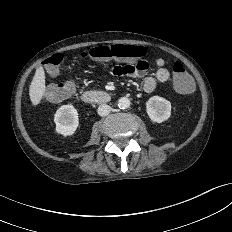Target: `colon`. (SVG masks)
<instances>
[{"label":"colon","mask_w":232,"mask_h":232,"mask_svg":"<svg viewBox=\"0 0 232 232\" xmlns=\"http://www.w3.org/2000/svg\"><path fill=\"white\" fill-rule=\"evenodd\" d=\"M147 54L146 48L136 45H101L93 47L90 50L82 51L78 54L79 59H92L96 61H107L110 59L120 60L128 65H137L141 62V58ZM62 54H53L44 61L45 69L48 75H55L58 66L62 62ZM173 86L175 90L181 94H188L193 90V80L186 72L184 66L180 62H175L172 67ZM74 83L72 81H63L52 85L47 89L46 96L51 101H60L67 98L74 91Z\"/></svg>","instance_id":"colon-1"}]
</instances>
